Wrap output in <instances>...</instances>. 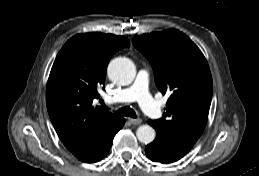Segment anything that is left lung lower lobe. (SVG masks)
<instances>
[{
  "instance_id": "0a47b994",
  "label": "left lung lower lobe",
  "mask_w": 259,
  "mask_h": 176,
  "mask_svg": "<svg viewBox=\"0 0 259 176\" xmlns=\"http://www.w3.org/2000/svg\"><path fill=\"white\" fill-rule=\"evenodd\" d=\"M149 124L155 128L153 121L150 120ZM192 147V144L171 139L165 133L156 130V138L146 146L145 153L150 160L167 164L182 158Z\"/></svg>"
}]
</instances>
